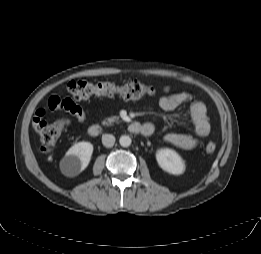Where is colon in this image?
I'll return each instance as SVG.
<instances>
[{
	"label": "colon",
	"mask_w": 261,
	"mask_h": 254,
	"mask_svg": "<svg viewBox=\"0 0 261 254\" xmlns=\"http://www.w3.org/2000/svg\"><path fill=\"white\" fill-rule=\"evenodd\" d=\"M69 98L65 99V103H73L74 101L86 100L92 96L113 97L120 96L127 100H136L140 98L154 96L156 90L153 87L146 86L138 81H132L123 85H116L111 82H89L87 80L72 81L68 85ZM62 100L56 96L49 99L48 104L53 108H58ZM40 113H42L40 111ZM69 126L68 119H59L51 124L43 121L37 123L36 128L42 143V150L49 152L51 147L58 140L62 132ZM205 151L212 154L216 151V145L208 142Z\"/></svg>",
	"instance_id": "1"
}]
</instances>
